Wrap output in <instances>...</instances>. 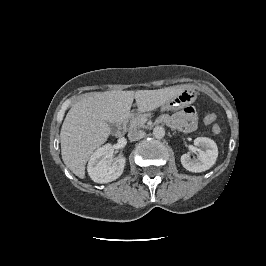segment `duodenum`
Here are the masks:
<instances>
[{
    "label": "duodenum",
    "instance_id": "duodenum-1",
    "mask_svg": "<svg viewBox=\"0 0 266 266\" xmlns=\"http://www.w3.org/2000/svg\"><path fill=\"white\" fill-rule=\"evenodd\" d=\"M124 132V126L122 123H120L118 126H117V129H116V134L117 136H122Z\"/></svg>",
    "mask_w": 266,
    "mask_h": 266
}]
</instances>
